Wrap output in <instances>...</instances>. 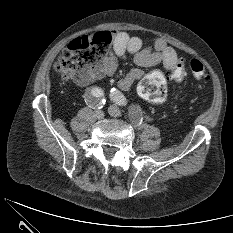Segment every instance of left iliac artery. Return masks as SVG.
<instances>
[{
    "label": "left iliac artery",
    "instance_id": "left-iliac-artery-1",
    "mask_svg": "<svg viewBox=\"0 0 233 233\" xmlns=\"http://www.w3.org/2000/svg\"><path fill=\"white\" fill-rule=\"evenodd\" d=\"M111 99L118 105H126V98L117 89L113 88L110 94Z\"/></svg>",
    "mask_w": 233,
    "mask_h": 233
}]
</instances>
